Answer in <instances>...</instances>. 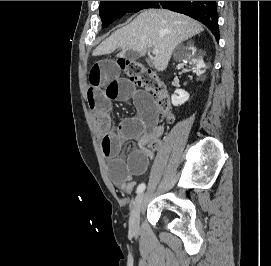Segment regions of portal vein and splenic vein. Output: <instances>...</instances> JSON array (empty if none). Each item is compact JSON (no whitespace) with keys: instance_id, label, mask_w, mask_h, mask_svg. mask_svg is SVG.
<instances>
[{"instance_id":"obj_1","label":"portal vein and splenic vein","mask_w":271,"mask_h":266,"mask_svg":"<svg viewBox=\"0 0 271 266\" xmlns=\"http://www.w3.org/2000/svg\"><path fill=\"white\" fill-rule=\"evenodd\" d=\"M152 53L157 55L159 53V50L157 48H153Z\"/></svg>"}]
</instances>
